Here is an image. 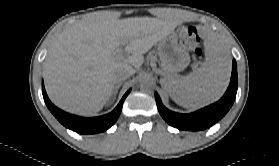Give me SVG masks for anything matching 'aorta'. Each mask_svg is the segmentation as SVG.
Returning <instances> with one entry per match:
<instances>
[{
    "label": "aorta",
    "mask_w": 279,
    "mask_h": 166,
    "mask_svg": "<svg viewBox=\"0 0 279 166\" xmlns=\"http://www.w3.org/2000/svg\"><path fill=\"white\" fill-rule=\"evenodd\" d=\"M153 82L149 78H143L140 83V89L144 92H152L153 91Z\"/></svg>",
    "instance_id": "aorta-1"
}]
</instances>
